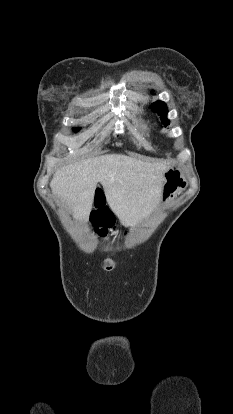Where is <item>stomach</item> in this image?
<instances>
[{
	"mask_svg": "<svg viewBox=\"0 0 233 414\" xmlns=\"http://www.w3.org/2000/svg\"><path fill=\"white\" fill-rule=\"evenodd\" d=\"M187 185L186 178L181 168L176 164H171L164 173V183L161 187L160 202L168 201L176 193L185 188Z\"/></svg>",
	"mask_w": 233,
	"mask_h": 414,
	"instance_id": "1",
	"label": "stomach"
}]
</instances>
